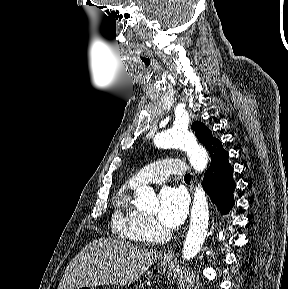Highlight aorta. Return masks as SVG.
Masks as SVG:
<instances>
[{"label":"aorta","instance_id":"762f6f07","mask_svg":"<svg viewBox=\"0 0 288 289\" xmlns=\"http://www.w3.org/2000/svg\"><path fill=\"white\" fill-rule=\"evenodd\" d=\"M155 144L163 148H180L187 152L191 166L202 172L207 165L206 150L188 133L187 129L174 127L155 137ZM135 206L147 212L159 210V201L154 190L149 186L137 189ZM209 224V206L204 191L198 186L195 189L191 210V221L183 243L182 254L185 260L195 257L200 251L207 235Z\"/></svg>","mask_w":288,"mask_h":289}]
</instances>
